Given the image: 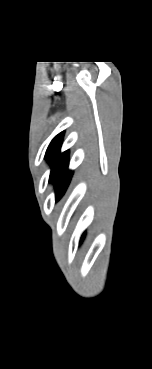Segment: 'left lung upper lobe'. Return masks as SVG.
Instances as JSON below:
<instances>
[{"label": "left lung upper lobe", "mask_w": 152, "mask_h": 369, "mask_svg": "<svg viewBox=\"0 0 152 369\" xmlns=\"http://www.w3.org/2000/svg\"><path fill=\"white\" fill-rule=\"evenodd\" d=\"M63 134L61 132L51 141L45 155L51 164L49 181L56 183V200L64 194L72 176V172L67 169L69 151L60 153Z\"/></svg>", "instance_id": "left-lung-upper-lobe-1"}]
</instances>
